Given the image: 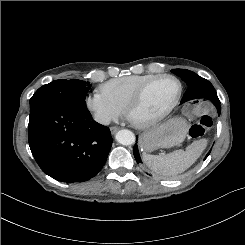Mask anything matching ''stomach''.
<instances>
[{
	"label": "stomach",
	"mask_w": 245,
	"mask_h": 245,
	"mask_svg": "<svg viewBox=\"0 0 245 245\" xmlns=\"http://www.w3.org/2000/svg\"><path fill=\"white\" fill-rule=\"evenodd\" d=\"M188 124L178 117L145 131L140 137V146L145 152L159 148H170L179 145L187 136Z\"/></svg>",
	"instance_id": "obj_1"
}]
</instances>
